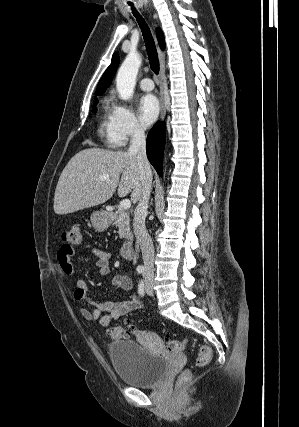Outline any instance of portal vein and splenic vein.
<instances>
[{
	"instance_id": "18ae733b",
	"label": "portal vein and splenic vein",
	"mask_w": 299,
	"mask_h": 427,
	"mask_svg": "<svg viewBox=\"0 0 299 427\" xmlns=\"http://www.w3.org/2000/svg\"><path fill=\"white\" fill-rule=\"evenodd\" d=\"M109 178L108 174H104L103 176L100 177V180H106ZM131 207V201L128 199H124L120 202V208L126 210L129 209Z\"/></svg>"
}]
</instances>
